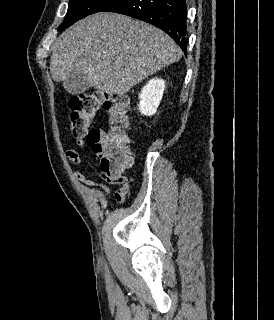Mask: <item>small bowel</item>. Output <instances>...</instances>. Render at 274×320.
I'll list each match as a JSON object with an SVG mask.
<instances>
[{
	"mask_svg": "<svg viewBox=\"0 0 274 320\" xmlns=\"http://www.w3.org/2000/svg\"><path fill=\"white\" fill-rule=\"evenodd\" d=\"M89 145L86 139H79L77 140V146L78 147H84ZM100 153V152H98ZM66 157L74 164V165H80L81 164V157L79 152L76 149H69L66 151ZM131 161V159H130ZM123 171V170H122ZM73 175L76 178L77 181H79L80 183L91 187V188H95L97 190L102 191L103 193H105L106 196L110 195V189L103 183H99V182H95L93 180L88 179L83 173H81L78 170H74L73 171ZM101 177L104 179V175L103 173H101ZM116 198V197H115ZM125 197L121 198V199H117L116 200L119 203H124L125 202Z\"/></svg>",
	"mask_w": 274,
	"mask_h": 320,
	"instance_id": "small-bowel-1",
	"label": "small bowel"
}]
</instances>
